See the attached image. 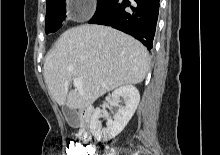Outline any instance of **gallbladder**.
Here are the masks:
<instances>
[{
  "label": "gallbladder",
  "mask_w": 220,
  "mask_h": 155,
  "mask_svg": "<svg viewBox=\"0 0 220 155\" xmlns=\"http://www.w3.org/2000/svg\"><path fill=\"white\" fill-rule=\"evenodd\" d=\"M63 114L71 127L76 128L78 126L79 116L75 110L69 108L68 106H64Z\"/></svg>",
  "instance_id": "obj_1"
}]
</instances>
